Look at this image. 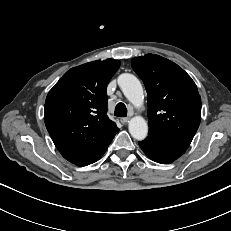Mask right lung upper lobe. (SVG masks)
I'll use <instances>...</instances> for the list:
<instances>
[{
	"instance_id": "right-lung-upper-lobe-1",
	"label": "right lung upper lobe",
	"mask_w": 231,
	"mask_h": 231,
	"mask_svg": "<svg viewBox=\"0 0 231 231\" xmlns=\"http://www.w3.org/2000/svg\"><path fill=\"white\" fill-rule=\"evenodd\" d=\"M114 59L93 61L67 71L49 91L46 128L62 156L78 166L96 162L119 128L107 113V84L118 70Z\"/></svg>"
}]
</instances>
